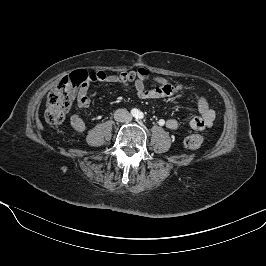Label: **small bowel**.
Segmentation results:
<instances>
[{
    "instance_id": "c3829d8e",
    "label": "small bowel",
    "mask_w": 266,
    "mask_h": 266,
    "mask_svg": "<svg viewBox=\"0 0 266 266\" xmlns=\"http://www.w3.org/2000/svg\"><path fill=\"white\" fill-rule=\"evenodd\" d=\"M92 81L103 82V83H122V79L117 75L107 74L104 71H96L91 73ZM153 81H155L158 86L153 89H145L142 80L135 81L136 95L139 99L149 100V99H160L174 95L178 92L191 93L193 91L190 85L185 84H172L166 78L160 75H154ZM93 94L88 93V86L85 85L81 87L78 91V98L76 103V111L86 109L90 105V99ZM196 107L199 113L198 116H191L187 118V123L191 128L197 131H202L204 129L211 128L215 119V112L210 108L208 101L203 96L196 97ZM70 124L72 128L77 132H84L86 130V125L81 119L79 114L75 112L70 119ZM166 128L170 130H175L179 126V122L176 119H168L165 121Z\"/></svg>"
}]
</instances>
